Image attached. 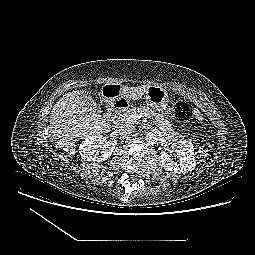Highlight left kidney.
Segmentation results:
<instances>
[{"mask_svg": "<svg viewBox=\"0 0 255 255\" xmlns=\"http://www.w3.org/2000/svg\"><path fill=\"white\" fill-rule=\"evenodd\" d=\"M172 149L176 156L180 160V164H177L171 157V154H168L165 151L160 153V165L164 167L166 171H174V173L185 174L188 171H192L196 167L195 157H194V147L192 143L187 141H179L173 143Z\"/></svg>", "mask_w": 255, "mask_h": 255, "instance_id": "1", "label": "left kidney"}]
</instances>
